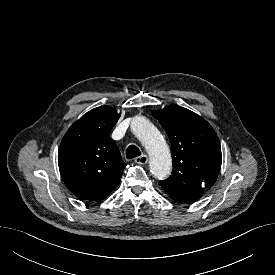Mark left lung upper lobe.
Here are the masks:
<instances>
[{"label":"left lung upper lobe","instance_id":"left-lung-upper-lobe-1","mask_svg":"<svg viewBox=\"0 0 275 275\" xmlns=\"http://www.w3.org/2000/svg\"><path fill=\"white\" fill-rule=\"evenodd\" d=\"M171 141L173 170L159 185L176 202L198 200L211 187L221 168L220 142L211 125L178 105L152 111Z\"/></svg>","mask_w":275,"mask_h":275}]
</instances>
